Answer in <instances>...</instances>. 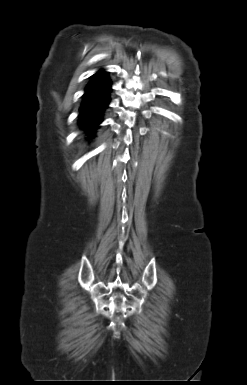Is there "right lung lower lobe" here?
I'll return each instance as SVG.
<instances>
[{
    "label": "right lung lower lobe",
    "mask_w": 247,
    "mask_h": 385,
    "mask_svg": "<svg viewBox=\"0 0 247 385\" xmlns=\"http://www.w3.org/2000/svg\"><path fill=\"white\" fill-rule=\"evenodd\" d=\"M110 86L111 81L107 73L99 71L92 76L83 95L78 124L90 138L102 122L103 111L110 101Z\"/></svg>",
    "instance_id": "1"
}]
</instances>
